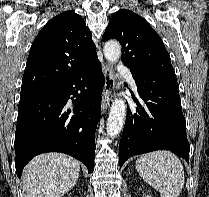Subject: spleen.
I'll return each instance as SVG.
<instances>
[{"label": "spleen", "mask_w": 209, "mask_h": 197, "mask_svg": "<svg viewBox=\"0 0 209 197\" xmlns=\"http://www.w3.org/2000/svg\"><path fill=\"white\" fill-rule=\"evenodd\" d=\"M139 175L155 188L160 197H178L184 182V168L179 158L169 151H154L136 160Z\"/></svg>", "instance_id": "3e777b00"}]
</instances>
